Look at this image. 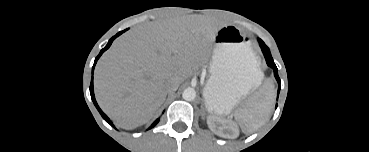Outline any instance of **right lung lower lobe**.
<instances>
[{
  "instance_id": "right-lung-lower-lobe-1",
  "label": "right lung lower lobe",
  "mask_w": 369,
  "mask_h": 152,
  "mask_svg": "<svg viewBox=\"0 0 369 152\" xmlns=\"http://www.w3.org/2000/svg\"><path fill=\"white\" fill-rule=\"evenodd\" d=\"M124 31H126V30H124ZM124 31H122V32H119L118 34H116L114 37H112L110 40H109V42H108V44L106 45V47L105 48H103L102 50H101V52H100V54L96 57V59H95V62H94V65H93V70H94V67H95V65H96V62H97V60L99 59V57L102 55V53L105 51V50H107L109 47H110V45L112 44V42H113V40L117 37V36H119L120 34H122ZM90 94H91V98H92V100H93V103H94V105L96 106V108L98 109V111L100 112V114H101V116L103 117V119L106 121V122H108L111 126H113V124H112V122L110 121V119L102 112V110L99 108V106H98V104H97V102H96V100H95V97H94V92H93V79L91 80V84H90ZM159 122V119H157L152 125H151V127L150 128H153L157 123ZM149 128V129H150Z\"/></svg>"
}]
</instances>
